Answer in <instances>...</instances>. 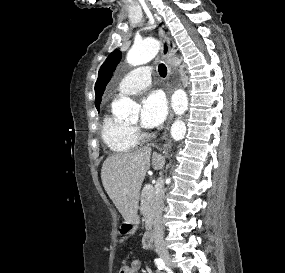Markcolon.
Masks as SVG:
<instances>
[{
    "label": "colon",
    "instance_id": "obj_1",
    "mask_svg": "<svg viewBox=\"0 0 285 273\" xmlns=\"http://www.w3.org/2000/svg\"><path fill=\"white\" fill-rule=\"evenodd\" d=\"M138 267H139V263L137 261H134L130 265H122L119 268L118 273H135Z\"/></svg>",
    "mask_w": 285,
    "mask_h": 273
}]
</instances>
